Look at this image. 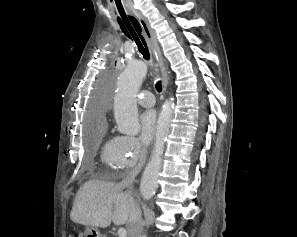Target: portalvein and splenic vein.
<instances>
[{"label":"portal vein and splenic vein","mask_w":297,"mask_h":237,"mask_svg":"<svg viewBox=\"0 0 297 237\" xmlns=\"http://www.w3.org/2000/svg\"><path fill=\"white\" fill-rule=\"evenodd\" d=\"M126 235H127V231L124 228H120L118 230V236L119 237H126Z\"/></svg>","instance_id":"obj_1"}]
</instances>
